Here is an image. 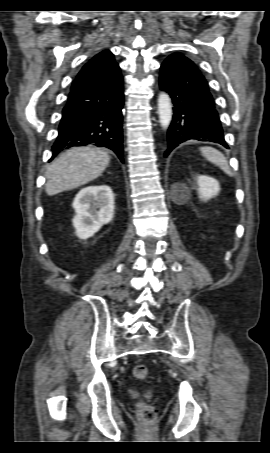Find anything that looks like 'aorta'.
Wrapping results in <instances>:
<instances>
[{
    "instance_id": "1",
    "label": "aorta",
    "mask_w": 270,
    "mask_h": 453,
    "mask_svg": "<svg viewBox=\"0 0 270 453\" xmlns=\"http://www.w3.org/2000/svg\"><path fill=\"white\" fill-rule=\"evenodd\" d=\"M158 115L162 128L167 129L171 123L173 111L170 96L166 92H160L158 96Z\"/></svg>"
}]
</instances>
